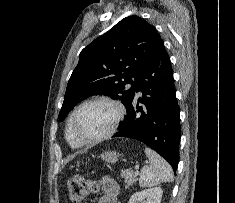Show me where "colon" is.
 <instances>
[{
  "instance_id": "5ec220e1",
  "label": "colon",
  "mask_w": 235,
  "mask_h": 203,
  "mask_svg": "<svg viewBox=\"0 0 235 203\" xmlns=\"http://www.w3.org/2000/svg\"><path fill=\"white\" fill-rule=\"evenodd\" d=\"M98 190L99 183L97 181L83 176H74L68 181L69 199L72 203H82Z\"/></svg>"
}]
</instances>
